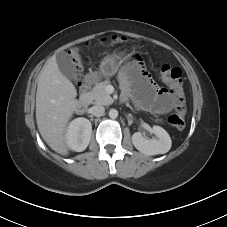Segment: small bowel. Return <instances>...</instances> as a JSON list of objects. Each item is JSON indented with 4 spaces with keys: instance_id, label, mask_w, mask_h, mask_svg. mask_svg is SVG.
I'll use <instances>...</instances> for the list:
<instances>
[{
    "instance_id": "small-bowel-1",
    "label": "small bowel",
    "mask_w": 227,
    "mask_h": 227,
    "mask_svg": "<svg viewBox=\"0 0 227 227\" xmlns=\"http://www.w3.org/2000/svg\"><path fill=\"white\" fill-rule=\"evenodd\" d=\"M141 60V55L132 54L114 66V73L119 74L123 96L125 98L133 96L136 104L143 109L159 114L168 113L175 104L173 94L167 89L159 88L150 79Z\"/></svg>"
}]
</instances>
